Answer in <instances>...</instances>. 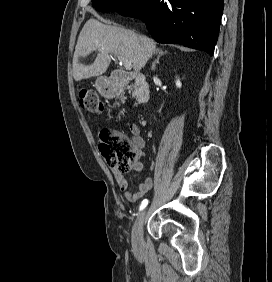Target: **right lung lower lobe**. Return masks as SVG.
<instances>
[{
  "instance_id": "right-lung-lower-lobe-1",
  "label": "right lung lower lobe",
  "mask_w": 272,
  "mask_h": 282,
  "mask_svg": "<svg viewBox=\"0 0 272 282\" xmlns=\"http://www.w3.org/2000/svg\"><path fill=\"white\" fill-rule=\"evenodd\" d=\"M223 0H141L119 13L139 18L146 23L159 43L182 44L214 52Z\"/></svg>"
}]
</instances>
